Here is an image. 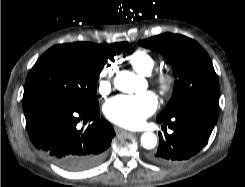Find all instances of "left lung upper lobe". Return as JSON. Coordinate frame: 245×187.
Listing matches in <instances>:
<instances>
[{
	"instance_id": "5c2ea615",
	"label": "left lung upper lobe",
	"mask_w": 245,
	"mask_h": 187,
	"mask_svg": "<svg viewBox=\"0 0 245 187\" xmlns=\"http://www.w3.org/2000/svg\"><path fill=\"white\" fill-rule=\"evenodd\" d=\"M162 53L172 66L175 84L168 105L158 117L168 118L187 108L219 102L217 75L207 52L194 40L165 33L139 41Z\"/></svg>"
}]
</instances>
